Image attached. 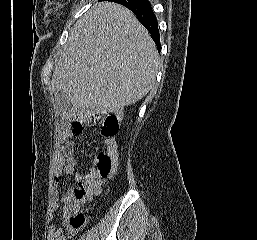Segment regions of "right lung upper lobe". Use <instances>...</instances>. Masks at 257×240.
<instances>
[{"mask_svg":"<svg viewBox=\"0 0 257 240\" xmlns=\"http://www.w3.org/2000/svg\"><path fill=\"white\" fill-rule=\"evenodd\" d=\"M108 1H113V2H116V3H119V4H125V2L127 0H108Z\"/></svg>","mask_w":257,"mask_h":240,"instance_id":"1","label":"right lung upper lobe"}]
</instances>
